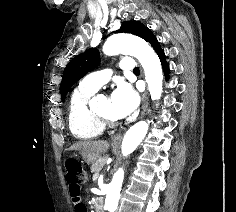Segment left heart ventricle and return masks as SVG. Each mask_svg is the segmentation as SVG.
<instances>
[{"label":"left heart ventricle","instance_id":"left-heart-ventricle-1","mask_svg":"<svg viewBox=\"0 0 236 212\" xmlns=\"http://www.w3.org/2000/svg\"><path fill=\"white\" fill-rule=\"evenodd\" d=\"M100 113L108 116V117H111V118H114V119H117L114 117V115L112 114V110H111V97H104L99 105H98V109H97Z\"/></svg>","mask_w":236,"mask_h":212}]
</instances>
